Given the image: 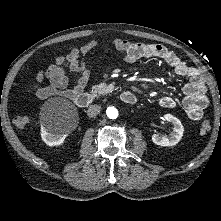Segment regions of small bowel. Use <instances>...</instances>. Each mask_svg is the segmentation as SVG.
I'll list each match as a JSON object with an SVG mask.
<instances>
[{"label": "small bowel", "mask_w": 221, "mask_h": 221, "mask_svg": "<svg viewBox=\"0 0 221 221\" xmlns=\"http://www.w3.org/2000/svg\"><path fill=\"white\" fill-rule=\"evenodd\" d=\"M99 44V40H92L82 46L74 47L65 56H58L53 64L38 73L34 87L35 96L39 99L51 96L74 99L83 91L91 76L86 57ZM111 45L115 50L123 53V61L126 63H134L146 58H159L170 66L177 75L186 77L188 82L183 88L182 107L191 120L196 121L202 118L209 100L206 84L195 67L188 65L173 51L160 44L130 42L116 38L111 40ZM68 73L76 75V81L72 86H70ZM45 79H48L50 84L43 87L41 83ZM159 104L164 108H174L177 101L171 96H163L160 98Z\"/></svg>", "instance_id": "1"}]
</instances>
